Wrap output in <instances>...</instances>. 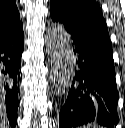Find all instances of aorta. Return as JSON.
<instances>
[{
  "label": "aorta",
  "mask_w": 125,
  "mask_h": 128,
  "mask_svg": "<svg viewBox=\"0 0 125 128\" xmlns=\"http://www.w3.org/2000/svg\"><path fill=\"white\" fill-rule=\"evenodd\" d=\"M46 45L51 62L52 80L58 95L71 88L75 71V55L70 35L61 24L47 28Z\"/></svg>",
  "instance_id": "obj_1"
}]
</instances>
